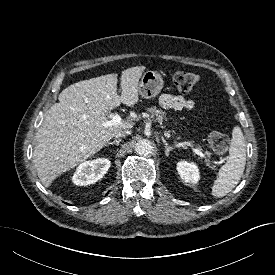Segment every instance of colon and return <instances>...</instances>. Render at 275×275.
Listing matches in <instances>:
<instances>
[{"instance_id": "1", "label": "colon", "mask_w": 275, "mask_h": 275, "mask_svg": "<svg viewBox=\"0 0 275 275\" xmlns=\"http://www.w3.org/2000/svg\"><path fill=\"white\" fill-rule=\"evenodd\" d=\"M173 82L179 91L190 92L197 87L199 76L191 72L179 71L174 74ZM208 141L216 153H224L228 148V138L221 132H212Z\"/></svg>"}]
</instances>
